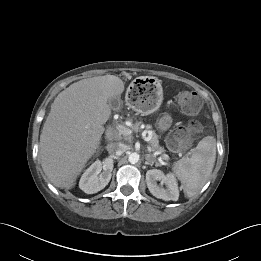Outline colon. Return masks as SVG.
I'll list each match as a JSON object with an SVG mask.
<instances>
[{
	"label": "colon",
	"mask_w": 261,
	"mask_h": 261,
	"mask_svg": "<svg viewBox=\"0 0 261 261\" xmlns=\"http://www.w3.org/2000/svg\"><path fill=\"white\" fill-rule=\"evenodd\" d=\"M176 100L180 108L186 114H196L201 107L198 95L189 89H179ZM202 131V125L197 120L190 121L185 127L176 128L168 137L171 150L177 152L187 149L192 143V136Z\"/></svg>",
	"instance_id": "obj_1"
}]
</instances>
